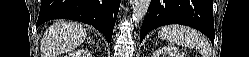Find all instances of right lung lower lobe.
Listing matches in <instances>:
<instances>
[{"mask_svg": "<svg viewBox=\"0 0 249 57\" xmlns=\"http://www.w3.org/2000/svg\"><path fill=\"white\" fill-rule=\"evenodd\" d=\"M120 0H42L36 27L52 19H71L94 26L112 39Z\"/></svg>", "mask_w": 249, "mask_h": 57, "instance_id": "obj_1", "label": "right lung lower lobe"}]
</instances>
